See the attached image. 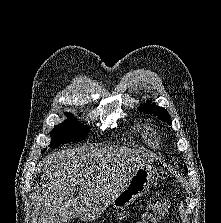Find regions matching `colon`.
Masks as SVG:
<instances>
[{"instance_id":"1","label":"colon","mask_w":221,"mask_h":223,"mask_svg":"<svg viewBox=\"0 0 221 223\" xmlns=\"http://www.w3.org/2000/svg\"><path fill=\"white\" fill-rule=\"evenodd\" d=\"M170 201L166 198H158L149 203L140 217L134 223H160L169 213Z\"/></svg>"}]
</instances>
